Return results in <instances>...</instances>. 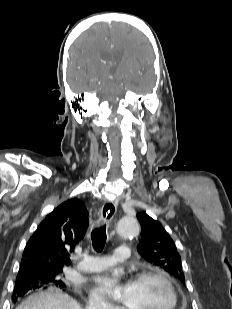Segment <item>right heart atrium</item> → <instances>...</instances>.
Returning <instances> with one entry per match:
<instances>
[{
  "label": "right heart atrium",
  "instance_id": "d8ad5b80",
  "mask_svg": "<svg viewBox=\"0 0 232 309\" xmlns=\"http://www.w3.org/2000/svg\"><path fill=\"white\" fill-rule=\"evenodd\" d=\"M90 309H118L114 305L104 300L98 294L93 293L88 301Z\"/></svg>",
  "mask_w": 232,
  "mask_h": 309
}]
</instances>
